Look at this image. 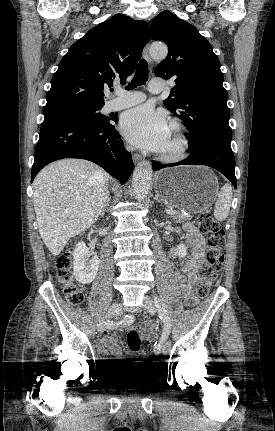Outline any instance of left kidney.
<instances>
[{"label":"left kidney","instance_id":"obj_1","mask_svg":"<svg viewBox=\"0 0 275 431\" xmlns=\"http://www.w3.org/2000/svg\"><path fill=\"white\" fill-rule=\"evenodd\" d=\"M177 254H178L179 257H185L186 256L187 251H186V247H185L184 244H180L177 247Z\"/></svg>","mask_w":275,"mask_h":431}]
</instances>
